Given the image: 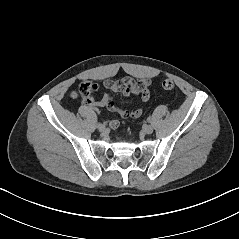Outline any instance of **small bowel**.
<instances>
[{
	"instance_id": "obj_1",
	"label": "small bowel",
	"mask_w": 239,
	"mask_h": 239,
	"mask_svg": "<svg viewBox=\"0 0 239 239\" xmlns=\"http://www.w3.org/2000/svg\"><path fill=\"white\" fill-rule=\"evenodd\" d=\"M91 84L95 90L97 88V85L93 83ZM149 85L150 81L148 79L136 81L131 77H124L117 81L106 80L103 83V86L106 89L120 92L125 97H130L132 95H140L142 103L148 101L149 99ZM83 102L94 110H99L100 108H107L111 112L119 114L122 118H139L143 114L142 105H138L133 110L123 109L119 105H117L109 95H105L101 99L96 100L92 97L91 93L89 97L83 98ZM119 125L120 122L118 119H112L109 121V126L112 129L118 128Z\"/></svg>"
}]
</instances>
